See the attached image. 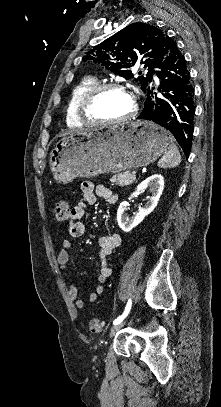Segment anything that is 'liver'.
Returning a JSON list of instances; mask_svg holds the SVG:
<instances>
[{
    "mask_svg": "<svg viewBox=\"0 0 221 407\" xmlns=\"http://www.w3.org/2000/svg\"><path fill=\"white\" fill-rule=\"evenodd\" d=\"M81 131H83V130H70V131H66V132H64V133L59 134V137H63V136H66V135H68V134L75 133V132H81Z\"/></svg>",
    "mask_w": 221,
    "mask_h": 407,
    "instance_id": "liver-1",
    "label": "liver"
}]
</instances>
